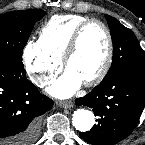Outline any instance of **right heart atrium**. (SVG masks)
Returning <instances> with one entry per match:
<instances>
[{
	"mask_svg": "<svg viewBox=\"0 0 145 145\" xmlns=\"http://www.w3.org/2000/svg\"><path fill=\"white\" fill-rule=\"evenodd\" d=\"M26 71L41 86L51 83L61 68V60L45 51L38 41H29L23 51Z\"/></svg>",
	"mask_w": 145,
	"mask_h": 145,
	"instance_id": "right-heart-atrium-1",
	"label": "right heart atrium"
}]
</instances>
